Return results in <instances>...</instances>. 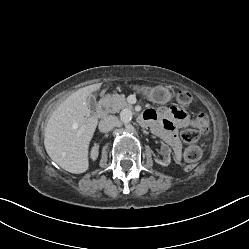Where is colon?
Returning <instances> with one entry per match:
<instances>
[{
  "instance_id": "obj_1",
  "label": "colon",
  "mask_w": 249,
  "mask_h": 249,
  "mask_svg": "<svg viewBox=\"0 0 249 249\" xmlns=\"http://www.w3.org/2000/svg\"><path fill=\"white\" fill-rule=\"evenodd\" d=\"M173 97L180 105H188L191 96L186 91L173 93ZM210 130V119L207 114L199 113L193 117L191 126L181 132V139L186 143L184 158L188 163H196L202 157V148L196 143L200 134H206Z\"/></svg>"
}]
</instances>
